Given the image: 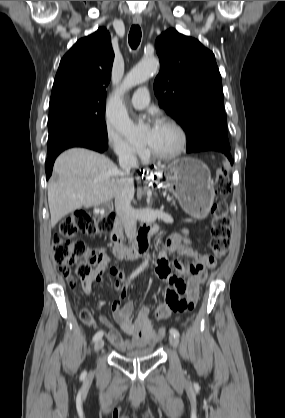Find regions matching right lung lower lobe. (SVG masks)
Segmentation results:
<instances>
[{"mask_svg": "<svg viewBox=\"0 0 285 418\" xmlns=\"http://www.w3.org/2000/svg\"><path fill=\"white\" fill-rule=\"evenodd\" d=\"M71 147H85L88 149H92L98 152H103L105 150H107L108 148V143L105 142H100L97 140H91V139H77L74 141H70L62 146H60L59 148H57L56 150H54L53 152L48 154V158L46 160V164H45V171H46V176L47 179L51 176L52 174V168H53V164L54 161L56 159V157L64 150L71 148Z\"/></svg>", "mask_w": 285, "mask_h": 418, "instance_id": "right-lung-lower-lobe-1", "label": "right lung lower lobe"}]
</instances>
